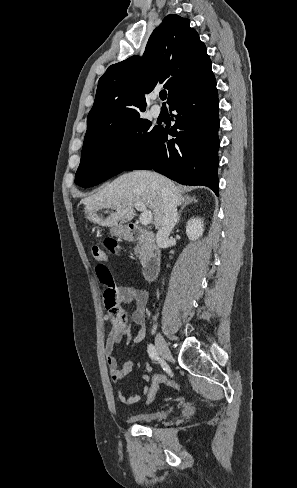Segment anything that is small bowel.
I'll return each mask as SVG.
<instances>
[{"label":"small bowel","instance_id":"c3829d8e","mask_svg":"<svg viewBox=\"0 0 297 488\" xmlns=\"http://www.w3.org/2000/svg\"><path fill=\"white\" fill-rule=\"evenodd\" d=\"M104 261L108 260L107 256L103 257ZM118 303L125 305H132L133 312L128 315L125 312L123 314V333L127 343H131L133 346H137L145 337L146 334V308L148 303V296L145 290L136 288L134 286L122 285L117 287ZM133 325L138 326V332L133 336ZM119 338L116 333L111 332L106 340L105 356L109 373L116 384H119L125 377H127L133 369V360L127 359L122 365H119L117 358L115 357L114 350ZM150 367L146 366L145 372L142 375V379L145 382H152L150 376ZM150 389V386H144L140 391L131 397L126 396L120 388H118V399L125 405H134L142 398L146 397V392Z\"/></svg>","mask_w":297,"mask_h":488}]
</instances>
